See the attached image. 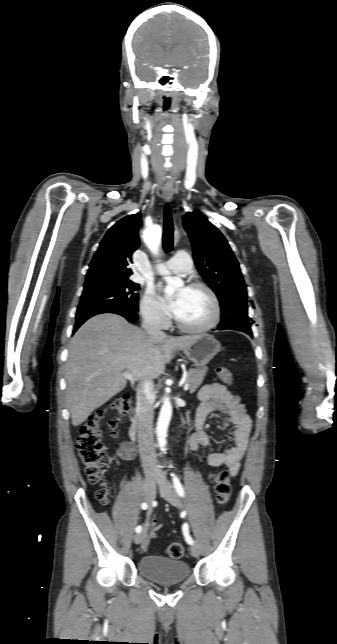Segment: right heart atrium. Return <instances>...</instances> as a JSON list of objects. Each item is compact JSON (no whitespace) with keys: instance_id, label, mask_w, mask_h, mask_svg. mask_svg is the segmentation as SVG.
Here are the masks:
<instances>
[{"instance_id":"right-heart-atrium-1","label":"right heart atrium","mask_w":337,"mask_h":644,"mask_svg":"<svg viewBox=\"0 0 337 644\" xmlns=\"http://www.w3.org/2000/svg\"><path fill=\"white\" fill-rule=\"evenodd\" d=\"M140 311L143 319L151 325L163 327L168 322L167 314L152 288L146 290L140 304Z\"/></svg>"}]
</instances>
